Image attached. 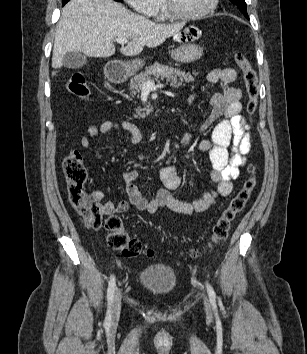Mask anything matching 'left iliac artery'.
Masks as SVG:
<instances>
[{
	"instance_id": "44dca946",
	"label": "left iliac artery",
	"mask_w": 307,
	"mask_h": 354,
	"mask_svg": "<svg viewBox=\"0 0 307 354\" xmlns=\"http://www.w3.org/2000/svg\"><path fill=\"white\" fill-rule=\"evenodd\" d=\"M207 292L213 309H216V293L209 283H206Z\"/></svg>"
}]
</instances>
